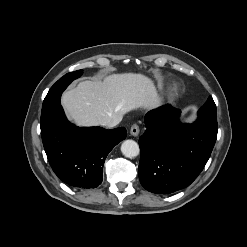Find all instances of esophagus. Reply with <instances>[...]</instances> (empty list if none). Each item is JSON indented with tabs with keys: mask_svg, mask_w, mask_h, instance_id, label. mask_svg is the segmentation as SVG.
I'll use <instances>...</instances> for the list:
<instances>
[{
	"mask_svg": "<svg viewBox=\"0 0 247 247\" xmlns=\"http://www.w3.org/2000/svg\"><path fill=\"white\" fill-rule=\"evenodd\" d=\"M139 126L137 124H133L130 128V134L134 137L138 136L139 134Z\"/></svg>",
	"mask_w": 247,
	"mask_h": 247,
	"instance_id": "obj_1",
	"label": "esophagus"
}]
</instances>
